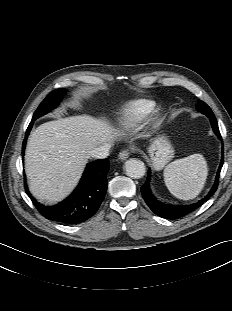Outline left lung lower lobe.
Segmentation results:
<instances>
[{
	"label": "left lung lower lobe",
	"instance_id": "left-lung-lower-lobe-1",
	"mask_svg": "<svg viewBox=\"0 0 232 311\" xmlns=\"http://www.w3.org/2000/svg\"><path fill=\"white\" fill-rule=\"evenodd\" d=\"M201 112L203 114H205L207 117H209L214 133L218 136L219 139L222 140V137H221L219 129H218V124H217L216 118H215L212 110L201 111ZM223 153L224 152H223V148H222V159H221V163H220L219 168H218L215 183L205 198L201 199L197 203H194L192 205H186V206H175V205H168V204L161 203L153 196V194L150 190V186H149L150 170H149L147 181L141 187V193H142V196H143L145 202L147 203V205L150 207V209L156 215L163 217V218H166V219H178L180 217H183V216L189 214L190 212H192L193 210L198 208L200 205H202L205 201H207L217 190L219 175H220V171H221V168H222L223 162H224Z\"/></svg>",
	"mask_w": 232,
	"mask_h": 311
}]
</instances>
